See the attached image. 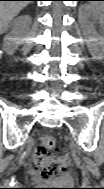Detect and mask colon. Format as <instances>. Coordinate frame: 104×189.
<instances>
[{
  "mask_svg": "<svg viewBox=\"0 0 104 189\" xmlns=\"http://www.w3.org/2000/svg\"><path fill=\"white\" fill-rule=\"evenodd\" d=\"M57 149L56 139L46 134L41 138L40 144L36 147L33 157V168L43 178H50L61 173L70 163L67 154L56 157L53 152Z\"/></svg>",
  "mask_w": 104,
  "mask_h": 189,
  "instance_id": "1",
  "label": "colon"
}]
</instances>
